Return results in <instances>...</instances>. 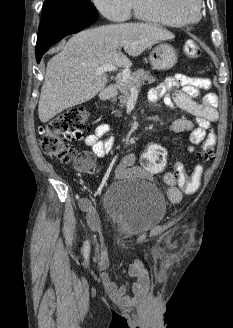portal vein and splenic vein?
Returning a JSON list of instances; mask_svg holds the SVG:
<instances>
[{
  "mask_svg": "<svg viewBox=\"0 0 233 328\" xmlns=\"http://www.w3.org/2000/svg\"><path fill=\"white\" fill-rule=\"evenodd\" d=\"M118 68L116 66H114L113 64L111 63H108L104 66H101L99 68L96 69V74H103L105 72H112V71H117ZM120 76L123 80H129L130 78V71L129 69H123L121 70L120 72ZM131 90H135L134 87L131 88Z\"/></svg>",
  "mask_w": 233,
  "mask_h": 328,
  "instance_id": "obj_1",
  "label": "portal vein and splenic vein"
}]
</instances>
